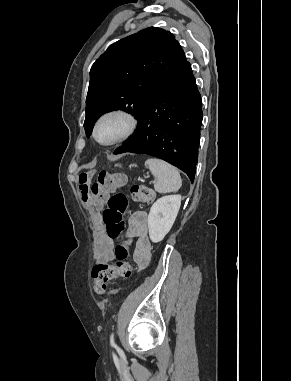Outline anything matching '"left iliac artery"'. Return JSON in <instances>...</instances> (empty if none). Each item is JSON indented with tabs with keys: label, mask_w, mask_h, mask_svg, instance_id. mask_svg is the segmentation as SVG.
Masks as SVG:
<instances>
[{
	"label": "left iliac artery",
	"mask_w": 291,
	"mask_h": 381,
	"mask_svg": "<svg viewBox=\"0 0 291 381\" xmlns=\"http://www.w3.org/2000/svg\"><path fill=\"white\" fill-rule=\"evenodd\" d=\"M110 344H111V346L116 347V344L114 342V333H112L110 336Z\"/></svg>",
	"instance_id": "obj_1"
}]
</instances>
